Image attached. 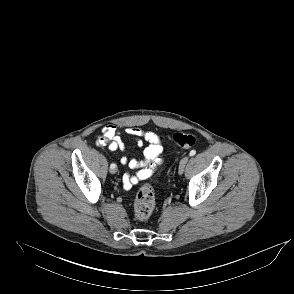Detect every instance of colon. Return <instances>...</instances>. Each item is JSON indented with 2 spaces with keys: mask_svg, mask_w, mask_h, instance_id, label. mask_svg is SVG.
Returning a JSON list of instances; mask_svg holds the SVG:
<instances>
[{
  "mask_svg": "<svg viewBox=\"0 0 294 294\" xmlns=\"http://www.w3.org/2000/svg\"><path fill=\"white\" fill-rule=\"evenodd\" d=\"M173 141L181 148L188 149L196 144V137L192 134L175 133ZM155 195L150 185L142 186L134 201V214L138 221L148 220L155 209Z\"/></svg>",
  "mask_w": 294,
  "mask_h": 294,
  "instance_id": "colon-1",
  "label": "colon"
}]
</instances>
